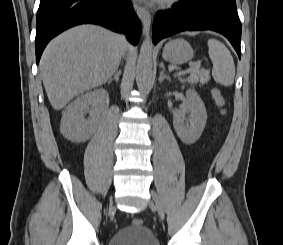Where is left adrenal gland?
Wrapping results in <instances>:
<instances>
[{
  "label": "left adrenal gland",
  "instance_id": "left-adrenal-gland-1",
  "mask_svg": "<svg viewBox=\"0 0 283 245\" xmlns=\"http://www.w3.org/2000/svg\"><path fill=\"white\" fill-rule=\"evenodd\" d=\"M164 79L171 80L170 76L169 75H165L164 70H162L160 72L159 79H158L159 83H162L164 81Z\"/></svg>",
  "mask_w": 283,
  "mask_h": 245
}]
</instances>
